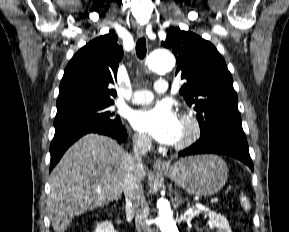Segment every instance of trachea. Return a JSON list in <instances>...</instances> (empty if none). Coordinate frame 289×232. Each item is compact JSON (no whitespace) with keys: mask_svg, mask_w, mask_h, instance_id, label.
I'll return each instance as SVG.
<instances>
[{"mask_svg":"<svg viewBox=\"0 0 289 232\" xmlns=\"http://www.w3.org/2000/svg\"><path fill=\"white\" fill-rule=\"evenodd\" d=\"M146 39L144 37L138 39L136 43V54L138 58L143 59L146 56Z\"/></svg>","mask_w":289,"mask_h":232,"instance_id":"obj_1","label":"trachea"}]
</instances>
